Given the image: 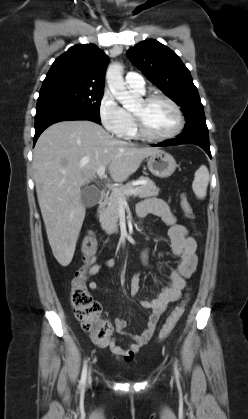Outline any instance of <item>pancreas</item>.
I'll use <instances>...</instances> for the list:
<instances>
[{
	"label": "pancreas",
	"instance_id": "1",
	"mask_svg": "<svg viewBox=\"0 0 248 419\" xmlns=\"http://www.w3.org/2000/svg\"><path fill=\"white\" fill-rule=\"evenodd\" d=\"M140 181H145V184L140 186H134V181L128 182L125 185L119 186L113 191L107 198V206L102 209L99 215V220L102 229L107 234H113L118 232V219H119V208L122 202H125L132 194H126L128 190H136L135 196L140 198H146L151 196H157L159 188L156 187L155 183L148 177H139Z\"/></svg>",
	"mask_w": 248,
	"mask_h": 419
}]
</instances>
